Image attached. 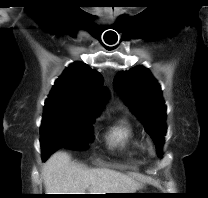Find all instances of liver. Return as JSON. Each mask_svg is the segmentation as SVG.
<instances>
[{
  "label": "liver",
  "mask_w": 208,
  "mask_h": 198,
  "mask_svg": "<svg viewBox=\"0 0 208 198\" xmlns=\"http://www.w3.org/2000/svg\"><path fill=\"white\" fill-rule=\"evenodd\" d=\"M42 176L47 194L135 193L141 187L132 177L112 169H85L65 152L50 156Z\"/></svg>",
  "instance_id": "1"
}]
</instances>
